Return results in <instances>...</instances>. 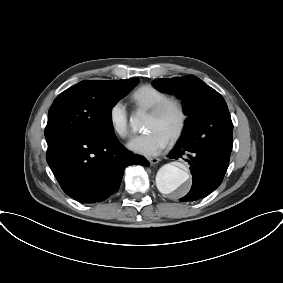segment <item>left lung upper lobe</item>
<instances>
[{"instance_id":"obj_1","label":"left lung upper lobe","mask_w":283,"mask_h":283,"mask_svg":"<svg viewBox=\"0 0 283 283\" xmlns=\"http://www.w3.org/2000/svg\"><path fill=\"white\" fill-rule=\"evenodd\" d=\"M153 85L183 100V110L188 116L183 131L195 129L207 147L231 152L233 124L227 104L216 90L193 75L156 79Z\"/></svg>"}]
</instances>
